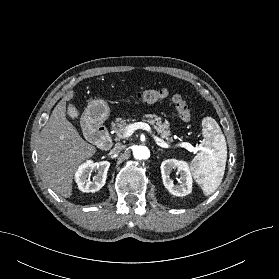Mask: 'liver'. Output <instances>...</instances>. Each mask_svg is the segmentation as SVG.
Listing matches in <instances>:
<instances>
[{"label": "liver", "mask_w": 279, "mask_h": 279, "mask_svg": "<svg viewBox=\"0 0 279 279\" xmlns=\"http://www.w3.org/2000/svg\"><path fill=\"white\" fill-rule=\"evenodd\" d=\"M69 91L56 105L39 137V167L43 178L57 194L72 195L73 178L77 167L93 157L96 148L85 141L66 119V101L74 97Z\"/></svg>", "instance_id": "liver-1"}]
</instances>
